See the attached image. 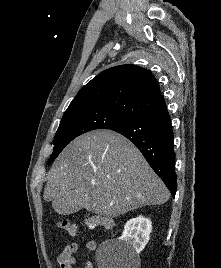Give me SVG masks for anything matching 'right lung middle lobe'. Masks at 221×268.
Masks as SVG:
<instances>
[{"mask_svg": "<svg viewBox=\"0 0 221 268\" xmlns=\"http://www.w3.org/2000/svg\"><path fill=\"white\" fill-rule=\"evenodd\" d=\"M123 121H127V119L117 113L103 109L64 113L54 137V150L48 164L77 136L95 129H109Z\"/></svg>", "mask_w": 221, "mask_h": 268, "instance_id": "right-lung-middle-lobe-1", "label": "right lung middle lobe"}]
</instances>
